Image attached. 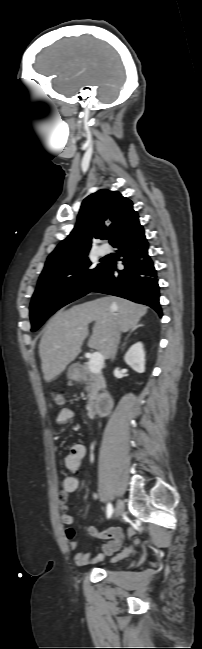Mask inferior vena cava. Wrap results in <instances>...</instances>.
I'll use <instances>...</instances> for the list:
<instances>
[{
	"label": "inferior vena cava",
	"mask_w": 202,
	"mask_h": 649,
	"mask_svg": "<svg viewBox=\"0 0 202 649\" xmlns=\"http://www.w3.org/2000/svg\"><path fill=\"white\" fill-rule=\"evenodd\" d=\"M119 339H120V337H119V335H118V337H117V344L119 343ZM116 352H117V346L114 348L113 353H112V358H113V359L115 358Z\"/></svg>",
	"instance_id": "602c4592"
}]
</instances>
